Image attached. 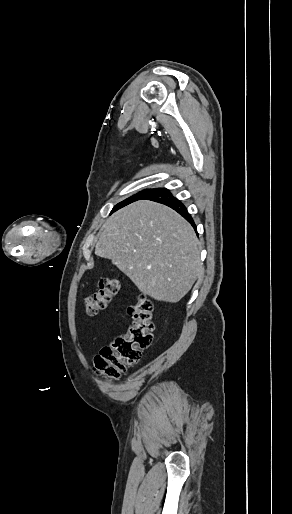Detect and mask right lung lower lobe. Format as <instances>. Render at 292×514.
<instances>
[{"mask_svg": "<svg viewBox=\"0 0 292 514\" xmlns=\"http://www.w3.org/2000/svg\"><path fill=\"white\" fill-rule=\"evenodd\" d=\"M142 199L155 201L169 206L183 216L196 230L192 217L188 214L186 207L166 188L151 189ZM141 200V199H140Z\"/></svg>", "mask_w": 292, "mask_h": 514, "instance_id": "98d812e1", "label": "right lung lower lobe"}]
</instances>
